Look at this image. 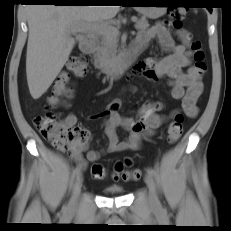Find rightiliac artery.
<instances>
[{
  "mask_svg": "<svg viewBox=\"0 0 231 231\" xmlns=\"http://www.w3.org/2000/svg\"><path fill=\"white\" fill-rule=\"evenodd\" d=\"M79 174H80V168H79V167H76V168L73 170L72 179H75L76 177H78Z\"/></svg>",
  "mask_w": 231,
  "mask_h": 231,
  "instance_id": "82829eb1",
  "label": "right iliac artery"
}]
</instances>
